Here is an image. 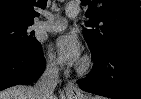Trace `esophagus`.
<instances>
[{
  "label": "esophagus",
  "instance_id": "obj_1",
  "mask_svg": "<svg viewBox=\"0 0 141 99\" xmlns=\"http://www.w3.org/2000/svg\"><path fill=\"white\" fill-rule=\"evenodd\" d=\"M65 93L67 97H74L80 95V90L73 81H68L65 87Z\"/></svg>",
  "mask_w": 141,
  "mask_h": 99
}]
</instances>
